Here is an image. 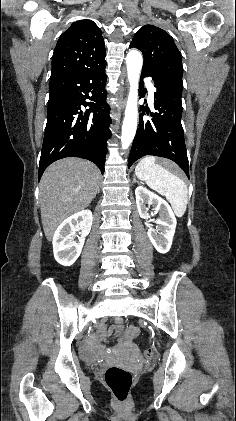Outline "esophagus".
Instances as JSON below:
<instances>
[{
	"label": "esophagus",
	"mask_w": 236,
	"mask_h": 421,
	"mask_svg": "<svg viewBox=\"0 0 236 421\" xmlns=\"http://www.w3.org/2000/svg\"><path fill=\"white\" fill-rule=\"evenodd\" d=\"M125 105V99L123 100V102H122V107Z\"/></svg>",
	"instance_id": "esophagus-1"
}]
</instances>
